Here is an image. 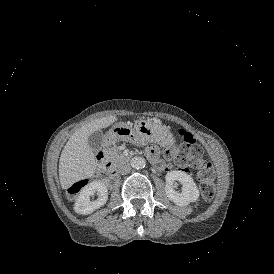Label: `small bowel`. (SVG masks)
<instances>
[{
	"instance_id": "obj_1",
	"label": "small bowel",
	"mask_w": 274,
	"mask_h": 274,
	"mask_svg": "<svg viewBox=\"0 0 274 274\" xmlns=\"http://www.w3.org/2000/svg\"><path fill=\"white\" fill-rule=\"evenodd\" d=\"M147 156L152 162H155L154 159H159L158 158V150L155 147H150L147 150Z\"/></svg>"
}]
</instances>
